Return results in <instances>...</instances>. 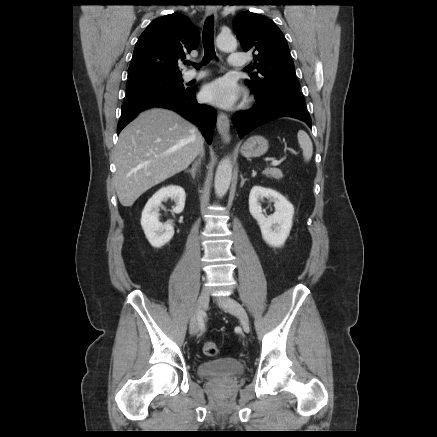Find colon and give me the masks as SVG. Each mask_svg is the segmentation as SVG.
<instances>
[{
    "instance_id": "colon-1",
    "label": "colon",
    "mask_w": 437,
    "mask_h": 437,
    "mask_svg": "<svg viewBox=\"0 0 437 437\" xmlns=\"http://www.w3.org/2000/svg\"><path fill=\"white\" fill-rule=\"evenodd\" d=\"M203 353L206 356H209V357L216 356L218 354V346H217V344L215 342H213V341H206L203 344Z\"/></svg>"
}]
</instances>
